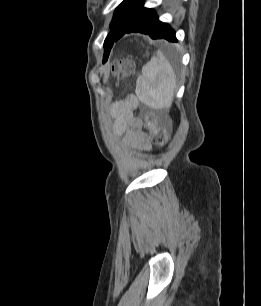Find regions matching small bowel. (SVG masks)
<instances>
[{"label": "small bowel", "instance_id": "obj_1", "mask_svg": "<svg viewBox=\"0 0 261 306\" xmlns=\"http://www.w3.org/2000/svg\"><path fill=\"white\" fill-rule=\"evenodd\" d=\"M138 100L131 96L113 106L119 130H126L123 145L136 151L151 149L149 136L142 130V123L134 116Z\"/></svg>", "mask_w": 261, "mask_h": 306}]
</instances>
